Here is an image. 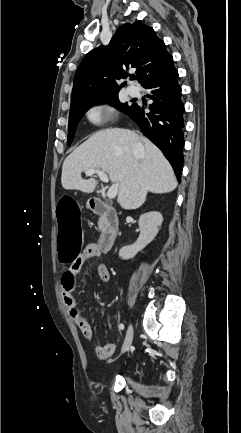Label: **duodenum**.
Listing matches in <instances>:
<instances>
[{
    "label": "duodenum",
    "mask_w": 241,
    "mask_h": 433,
    "mask_svg": "<svg viewBox=\"0 0 241 433\" xmlns=\"http://www.w3.org/2000/svg\"><path fill=\"white\" fill-rule=\"evenodd\" d=\"M89 208L102 218V232L97 243L101 253H107L113 247L119 230V220L116 211L100 198L89 199Z\"/></svg>",
    "instance_id": "obj_1"
}]
</instances>
